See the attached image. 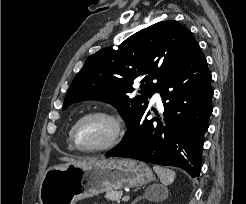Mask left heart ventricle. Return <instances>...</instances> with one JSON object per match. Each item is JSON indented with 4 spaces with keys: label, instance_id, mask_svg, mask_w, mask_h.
Masks as SVG:
<instances>
[{
    "label": "left heart ventricle",
    "instance_id": "obj_1",
    "mask_svg": "<svg viewBox=\"0 0 246 204\" xmlns=\"http://www.w3.org/2000/svg\"><path fill=\"white\" fill-rule=\"evenodd\" d=\"M112 130L111 123L106 119L100 117L89 118L79 125L76 140L81 147H96L109 139Z\"/></svg>",
    "mask_w": 246,
    "mask_h": 204
}]
</instances>
